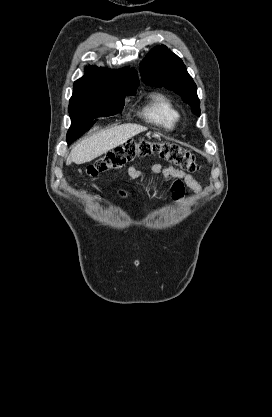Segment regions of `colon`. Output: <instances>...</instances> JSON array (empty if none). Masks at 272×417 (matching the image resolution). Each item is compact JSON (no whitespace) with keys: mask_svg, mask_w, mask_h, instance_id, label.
<instances>
[{"mask_svg":"<svg viewBox=\"0 0 272 417\" xmlns=\"http://www.w3.org/2000/svg\"><path fill=\"white\" fill-rule=\"evenodd\" d=\"M149 155H158L187 172H195L199 169L195 156L179 145L161 140L139 139L110 150L87 167V174L96 176L109 170H117L128 162Z\"/></svg>","mask_w":272,"mask_h":417,"instance_id":"colon-1","label":"colon"}]
</instances>
